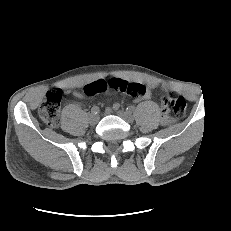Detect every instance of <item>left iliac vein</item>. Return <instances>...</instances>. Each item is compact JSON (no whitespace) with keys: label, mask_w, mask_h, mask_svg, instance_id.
I'll return each mask as SVG.
<instances>
[{"label":"left iliac vein","mask_w":231,"mask_h":231,"mask_svg":"<svg viewBox=\"0 0 231 231\" xmlns=\"http://www.w3.org/2000/svg\"><path fill=\"white\" fill-rule=\"evenodd\" d=\"M117 114H118V116H120L121 118H123L125 121H127L129 123H132L134 121L133 116L127 111L119 110L117 112Z\"/></svg>","instance_id":"obj_1"}]
</instances>
